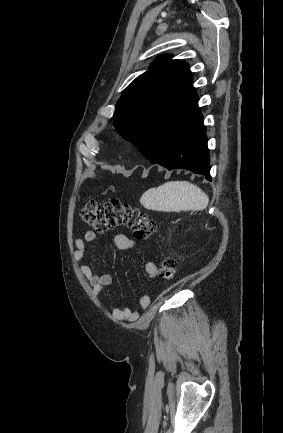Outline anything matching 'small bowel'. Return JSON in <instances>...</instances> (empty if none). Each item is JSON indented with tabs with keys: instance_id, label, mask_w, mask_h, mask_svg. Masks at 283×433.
Returning <instances> with one entry per match:
<instances>
[{
	"instance_id": "c3829d8e",
	"label": "small bowel",
	"mask_w": 283,
	"mask_h": 433,
	"mask_svg": "<svg viewBox=\"0 0 283 433\" xmlns=\"http://www.w3.org/2000/svg\"><path fill=\"white\" fill-rule=\"evenodd\" d=\"M96 239L97 235L92 230L85 231L81 238H77L75 240V260H81L86 252V243L95 242ZM112 241L115 248L119 250H127L136 245V242L133 239L123 233L116 234ZM79 269L92 286L96 295L104 293L111 285L112 278L110 275L100 274L87 265H82ZM145 272L149 278H155L158 272L155 263L147 262L145 264ZM138 305L140 309H146L150 305V297L148 295L141 296ZM112 316L117 321L134 322L139 318V312L131 311L128 308L114 307L112 309Z\"/></svg>"
}]
</instances>
